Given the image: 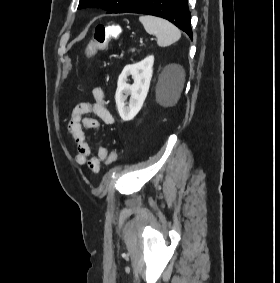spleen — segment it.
Instances as JSON below:
<instances>
[{
    "instance_id": "3e777b00",
    "label": "spleen",
    "mask_w": 280,
    "mask_h": 283,
    "mask_svg": "<svg viewBox=\"0 0 280 283\" xmlns=\"http://www.w3.org/2000/svg\"><path fill=\"white\" fill-rule=\"evenodd\" d=\"M139 21L142 23L147 33L156 36L157 44L160 47L170 46L177 42L181 37L180 30L165 19L154 16H141ZM183 83L184 72H181L180 89L182 88Z\"/></svg>"
}]
</instances>
